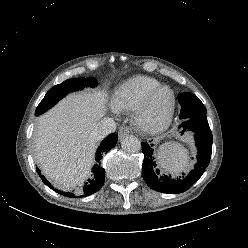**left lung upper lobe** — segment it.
<instances>
[{
  "label": "left lung upper lobe",
  "mask_w": 248,
  "mask_h": 248,
  "mask_svg": "<svg viewBox=\"0 0 248 248\" xmlns=\"http://www.w3.org/2000/svg\"><path fill=\"white\" fill-rule=\"evenodd\" d=\"M178 101L181 105L180 117H192L207 113L203 103L194 94L188 92L182 93L179 95Z\"/></svg>",
  "instance_id": "1"
}]
</instances>
